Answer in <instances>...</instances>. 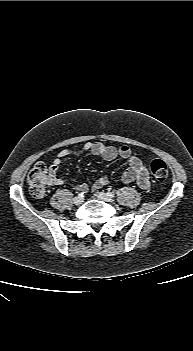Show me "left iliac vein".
Here are the masks:
<instances>
[{"mask_svg":"<svg viewBox=\"0 0 193 351\" xmlns=\"http://www.w3.org/2000/svg\"><path fill=\"white\" fill-rule=\"evenodd\" d=\"M96 196L100 199V200H103L105 202H109V203H112L114 200L111 196H109L107 193L105 192H98L96 194Z\"/></svg>","mask_w":193,"mask_h":351,"instance_id":"obj_1","label":"left iliac vein"}]
</instances>
